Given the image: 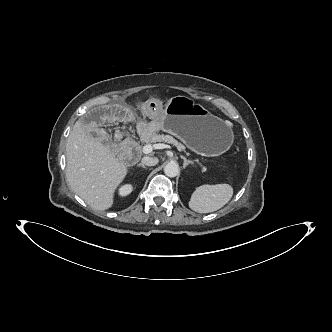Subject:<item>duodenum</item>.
I'll list each match as a JSON object with an SVG mask.
<instances>
[{
	"label": "duodenum",
	"instance_id": "410a0bca",
	"mask_svg": "<svg viewBox=\"0 0 332 332\" xmlns=\"http://www.w3.org/2000/svg\"><path fill=\"white\" fill-rule=\"evenodd\" d=\"M125 155L126 157H128L129 159H134L136 156L135 151H125Z\"/></svg>",
	"mask_w": 332,
	"mask_h": 332
}]
</instances>
